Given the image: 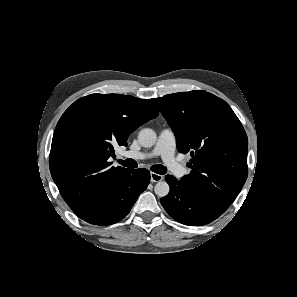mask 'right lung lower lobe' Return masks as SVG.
<instances>
[{
    "label": "right lung lower lobe",
    "mask_w": 297,
    "mask_h": 297,
    "mask_svg": "<svg viewBox=\"0 0 297 297\" xmlns=\"http://www.w3.org/2000/svg\"><path fill=\"white\" fill-rule=\"evenodd\" d=\"M149 182L150 172L147 169H131L96 202L88 213L79 218L99 226L120 221L130 212Z\"/></svg>",
    "instance_id": "obj_1"
}]
</instances>
